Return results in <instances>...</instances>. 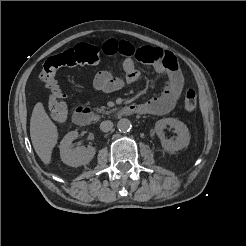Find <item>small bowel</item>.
I'll return each mask as SVG.
<instances>
[{"label":"small bowel","mask_w":246,"mask_h":246,"mask_svg":"<svg viewBox=\"0 0 246 246\" xmlns=\"http://www.w3.org/2000/svg\"><path fill=\"white\" fill-rule=\"evenodd\" d=\"M96 48L105 55L118 54L124 58V76H115L108 70L98 72L93 80V87L96 91L111 93L136 82L140 78V71L134 62L137 59L142 63L150 64L156 73L166 77L161 95L138 104L139 113L160 116L174 109L184 88V78L173 53L154 47L135 49L130 42L115 39H108Z\"/></svg>","instance_id":"obj_1"}]
</instances>
